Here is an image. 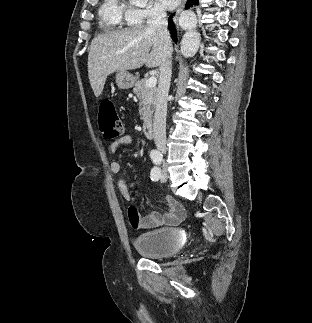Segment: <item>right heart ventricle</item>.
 Returning a JSON list of instances; mask_svg holds the SVG:
<instances>
[{
    "label": "right heart ventricle",
    "mask_w": 312,
    "mask_h": 323,
    "mask_svg": "<svg viewBox=\"0 0 312 323\" xmlns=\"http://www.w3.org/2000/svg\"><path fill=\"white\" fill-rule=\"evenodd\" d=\"M119 0H102L95 13V20H102L108 29H125L130 25L131 16H135V9H125V5H118Z\"/></svg>",
    "instance_id": "obj_1"
}]
</instances>
